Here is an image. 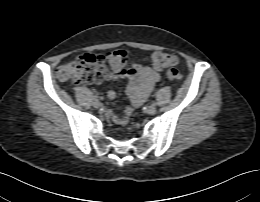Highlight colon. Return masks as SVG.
<instances>
[{"label":"colon","mask_w":260,"mask_h":202,"mask_svg":"<svg viewBox=\"0 0 260 202\" xmlns=\"http://www.w3.org/2000/svg\"><path fill=\"white\" fill-rule=\"evenodd\" d=\"M131 60V54L124 49H116L102 54H83L57 69V78L62 82L78 84H98L109 75L106 62L111 67L124 70ZM155 69H166V77L171 81L182 80V74L174 68L178 59L174 54L157 51L151 57Z\"/></svg>","instance_id":"1"}]
</instances>
